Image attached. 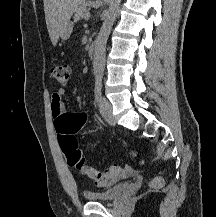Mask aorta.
<instances>
[{
    "mask_svg": "<svg viewBox=\"0 0 216 217\" xmlns=\"http://www.w3.org/2000/svg\"><path fill=\"white\" fill-rule=\"evenodd\" d=\"M120 2L121 0H109L108 11L95 42L93 73L96 77H102L104 73L106 44L115 21Z\"/></svg>",
    "mask_w": 216,
    "mask_h": 217,
    "instance_id": "obj_1",
    "label": "aorta"
}]
</instances>
